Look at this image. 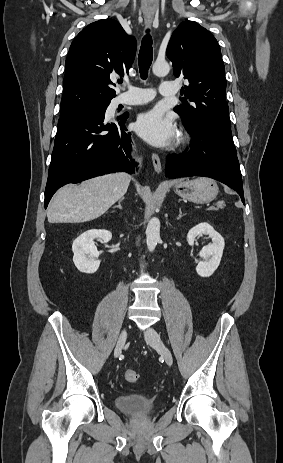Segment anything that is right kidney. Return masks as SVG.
<instances>
[{
    "label": "right kidney",
    "mask_w": 283,
    "mask_h": 463,
    "mask_svg": "<svg viewBox=\"0 0 283 463\" xmlns=\"http://www.w3.org/2000/svg\"><path fill=\"white\" fill-rule=\"evenodd\" d=\"M96 238L108 242L112 239V233L108 230L92 229L82 233L73 242V262L80 272L94 273L100 266L99 252L94 243Z\"/></svg>",
    "instance_id": "1"
}]
</instances>
